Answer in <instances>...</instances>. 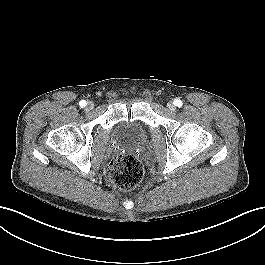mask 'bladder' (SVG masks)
<instances>
[{
	"label": "bladder",
	"mask_w": 265,
	"mask_h": 265,
	"mask_svg": "<svg viewBox=\"0 0 265 265\" xmlns=\"http://www.w3.org/2000/svg\"><path fill=\"white\" fill-rule=\"evenodd\" d=\"M116 133L122 141L135 143L141 142L146 136L145 128L141 124L134 122L120 125Z\"/></svg>",
	"instance_id": "1"
}]
</instances>
